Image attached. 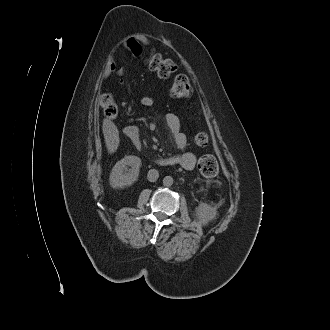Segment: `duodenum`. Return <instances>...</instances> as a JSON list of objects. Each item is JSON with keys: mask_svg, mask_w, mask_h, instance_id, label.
<instances>
[{"mask_svg": "<svg viewBox=\"0 0 330 330\" xmlns=\"http://www.w3.org/2000/svg\"><path fill=\"white\" fill-rule=\"evenodd\" d=\"M127 130H129L127 136L130 137L131 139L137 141L138 140L137 130H130L129 128H127ZM159 162H161L163 164H172V162L169 159H159Z\"/></svg>", "mask_w": 330, "mask_h": 330, "instance_id": "410a0bca", "label": "duodenum"}]
</instances>
